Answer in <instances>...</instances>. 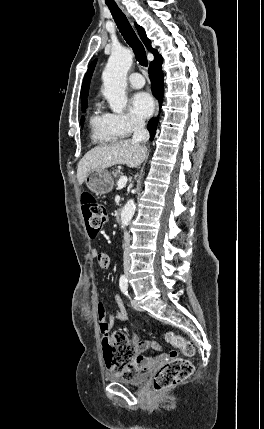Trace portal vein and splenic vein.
<instances>
[{
    "label": "portal vein and splenic vein",
    "mask_w": 264,
    "mask_h": 429,
    "mask_svg": "<svg viewBox=\"0 0 264 429\" xmlns=\"http://www.w3.org/2000/svg\"><path fill=\"white\" fill-rule=\"evenodd\" d=\"M127 176H121L120 178H119V180H118V182H117V186L119 187V188H123L125 185H126V183H127Z\"/></svg>",
    "instance_id": "18ae733b"
}]
</instances>
